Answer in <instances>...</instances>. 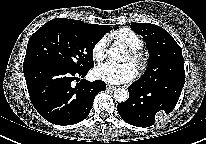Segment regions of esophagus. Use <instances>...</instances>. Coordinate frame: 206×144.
<instances>
[{"instance_id":"1","label":"esophagus","mask_w":206,"mask_h":144,"mask_svg":"<svg viewBox=\"0 0 206 144\" xmlns=\"http://www.w3.org/2000/svg\"><path fill=\"white\" fill-rule=\"evenodd\" d=\"M107 89L108 90H115L116 89V87L115 86H113V85H107Z\"/></svg>"}]
</instances>
